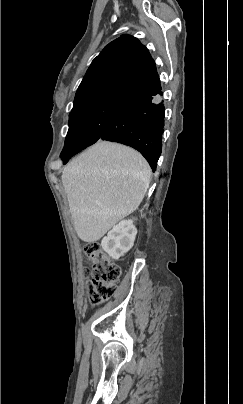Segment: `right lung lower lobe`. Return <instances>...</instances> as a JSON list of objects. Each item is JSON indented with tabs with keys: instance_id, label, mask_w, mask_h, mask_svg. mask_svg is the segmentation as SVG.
<instances>
[{
	"instance_id": "1",
	"label": "right lung lower lobe",
	"mask_w": 243,
	"mask_h": 404,
	"mask_svg": "<svg viewBox=\"0 0 243 404\" xmlns=\"http://www.w3.org/2000/svg\"><path fill=\"white\" fill-rule=\"evenodd\" d=\"M161 90L128 101L98 140L118 142L138 150L156 170L162 149L164 106Z\"/></svg>"
}]
</instances>
